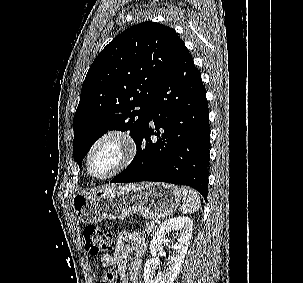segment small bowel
Instances as JSON below:
<instances>
[{
	"label": "small bowel",
	"instance_id": "c3829d8e",
	"mask_svg": "<svg viewBox=\"0 0 303 283\" xmlns=\"http://www.w3.org/2000/svg\"><path fill=\"white\" fill-rule=\"evenodd\" d=\"M147 250L146 243L138 232H124L118 236L113 254H105L101 258V265L115 269L117 276L106 273L102 279L105 283H142L139 278L140 267ZM135 258L128 263L132 254Z\"/></svg>",
	"mask_w": 303,
	"mask_h": 283
}]
</instances>
